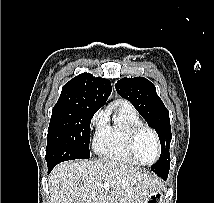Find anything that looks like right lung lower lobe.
<instances>
[{"instance_id": "right-lung-lower-lobe-1", "label": "right lung lower lobe", "mask_w": 214, "mask_h": 203, "mask_svg": "<svg viewBox=\"0 0 214 203\" xmlns=\"http://www.w3.org/2000/svg\"><path fill=\"white\" fill-rule=\"evenodd\" d=\"M55 165L53 164H48V173L54 168Z\"/></svg>"}]
</instances>
